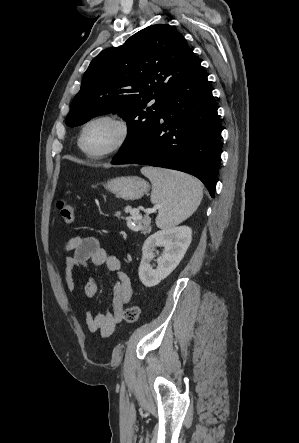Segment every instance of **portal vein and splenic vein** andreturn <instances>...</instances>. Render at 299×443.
I'll return each instance as SVG.
<instances>
[{"mask_svg":"<svg viewBox=\"0 0 299 443\" xmlns=\"http://www.w3.org/2000/svg\"><path fill=\"white\" fill-rule=\"evenodd\" d=\"M155 210H156V208H153V209L147 211V214H149V213H151V212H154ZM133 213H135V212H133Z\"/></svg>","mask_w":299,"mask_h":443,"instance_id":"18ae733b","label":"portal vein and splenic vein"}]
</instances>
